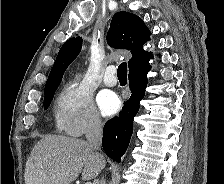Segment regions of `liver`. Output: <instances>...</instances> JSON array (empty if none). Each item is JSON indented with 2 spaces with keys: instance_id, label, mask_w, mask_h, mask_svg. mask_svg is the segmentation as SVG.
<instances>
[{
  "instance_id": "6515ba94",
  "label": "liver",
  "mask_w": 224,
  "mask_h": 184,
  "mask_svg": "<svg viewBox=\"0 0 224 184\" xmlns=\"http://www.w3.org/2000/svg\"><path fill=\"white\" fill-rule=\"evenodd\" d=\"M105 166L88 142L63 135H46L33 148L25 169V184H70L98 176Z\"/></svg>"
}]
</instances>
